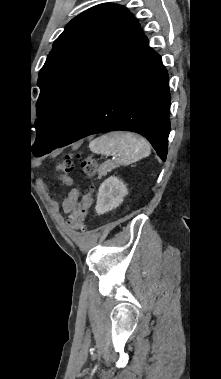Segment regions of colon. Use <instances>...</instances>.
<instances>
[{
	"label": "colon",
	"mask_w": 221,
	"mask_h": 379,
	"mask_svg": "<svg viewBox=\"0 0 221 379\" xmlns=\"http://www.w3.org/2000/svg\"><path fill=\"white\" fill-rule=\"evenodd\" d=\"M58 171L61 173V181L65 185H70L72 182L71 172L73 171V156L66 155L58 164ZM82 171L90 177L99 175V168L97 162L90 157L84 158L81 162ZM92 203V189H90L82 199L76 204L74 209L68 214V224L76 230L85 229V221L88 210Z\"/></svg>",
	"instance_id": "obj_1"
}]
</instances>
